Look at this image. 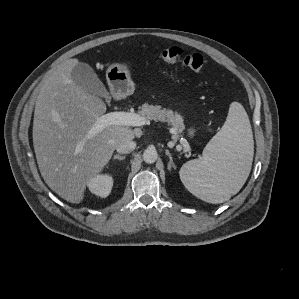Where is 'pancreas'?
<instances>
[{
  "label": "pancreas",
  "mask_w": 299,
  "mask_h": 299,
  "mask_svg": "<svg viewBox=\"0 0 299 299\" xmlns=\"http://www.w3.org/2000/svg\"><path fill=\"white\" fill-rule=\"evenodd\" d=\"M138 114L145 120L167 122L170 124L172 126L174 139H177L185 129L183 117L180 114L174 113L170 109H162L161 106H154L145 103L140 107Z\"/></svg>",
  "instance_id": "obj_1"
}]
</instances>
